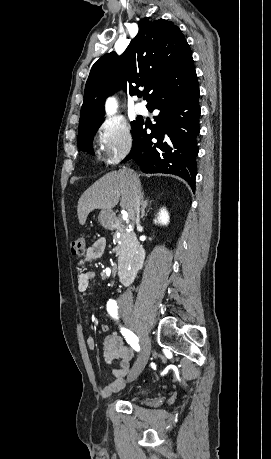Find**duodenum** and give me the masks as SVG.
<instances>
[{
    "label": "duodenum",
    "mask_w": 271,
    "mask_h": 459,
    "mask_svg": "<svg viewBox=\"0 0 271 459\" xmlns=\"http://www.w3.org/2000/svg\"><path fill=\"white\" fill-rule=\"evenodd\" d=\"M111 226L122 230L127 231V228L118 218H112L110 220ZM135 254L131 263V266L127 270H123L119 274V281L123 285H129L135 278L137 271L143 266L146 258L145 247L138 241H135Z\"/></svg>",
    "instance_id": "410a0bca"
}]
</instances>
